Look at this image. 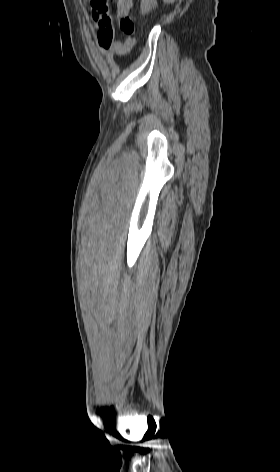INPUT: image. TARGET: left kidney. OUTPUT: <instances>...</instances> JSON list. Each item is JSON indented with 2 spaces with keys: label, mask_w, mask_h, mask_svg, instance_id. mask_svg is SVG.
I'll return each instance as SVG.
<instances>
[{
  "label": "left kidney",
  "mask_w": 280,
  "mask_h": 472,
  "mask_svg": "<svg viewBox=\"0 0 280 472\" xmlns=\"http://www.w3.org/2000/svg\"><path fill=\"white\" fill-rule=\"evenodd\" d=\"M164 1H168V0H164ZM154 5H155L154 0H141L140 8H141L142 14H145L148 11H150L151 8L154 7Z\"/></svg>",
  "instance_id": "obj_1"
}]
</instances>
